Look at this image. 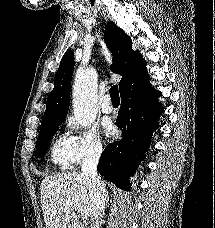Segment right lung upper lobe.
I'll return each mask as SVG.
<instances>
[{"mask_svg":"<svg viewBox=\"0 0 215 228\" xmlns=\"http://www.w3.org/2000/svg\"><path fill=\"white\" fill-rule=\"evenodd\" d=\"M104 39L113 55L111 70L122 76L119 82L121 93L131 79L147 75L146 62L139 51H133L132 40L114 22L106 25ZM73 68L74 53L70 50L63 56L56 73L41 126L64 121L69 108Z\"/></svg>","mask_w":215,"mask_h":228,"instance_id":"cb5924a9","label":"right lung upper lobe"}]
</instances>
